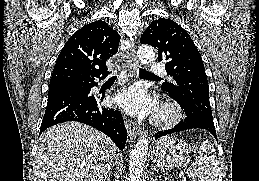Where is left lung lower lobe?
<instances>
[{"label":"left lung lower lobe","instance_id":"1","mask_svg":"<svg viewBox=\"0 0 259 181\" xmlns=\"http://www.w3.org/2000/svg\"><path fill=\"white\" fill-rule=\"evenodd\" d=\"M176 101L185 110L186 118L179 124H177L174 128L156 133L154 136L155 140L167 134L194 128L205 129L209 131L217 139L213 118L207 117L201 113H196L189 106L183 104L178 100Z\"/></svg>","mask_w":259,"mask_h":181}]
</instances>
